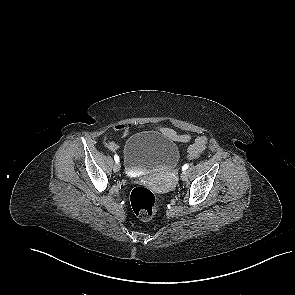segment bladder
<instances>
[{"label":"bladder","mask_w":295,"mask_h":295,"mask_svg":"<svg viewBox=\"0 0 295 295\" xmlns=\"http://www.w3.org/2000/svg\"><path fill=\"white\" fill-rule=\"evenodd\" d=\"M180 153L174 141L158 131H144L130 137L123 148L128 175L174 168Z\"/></svg>","instance_id":"31cf9c89"}]
</instances>
